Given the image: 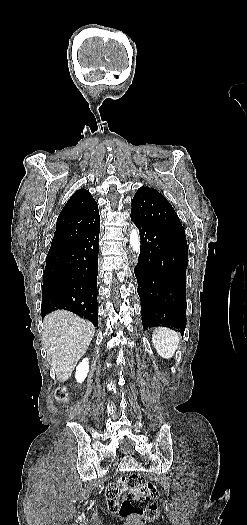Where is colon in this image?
Masks as SVG:
<instances>
[{
	"mask_svg": "<svg viewBox=\"0 0 247 525\" xmlns=\"http://www.w3.org/2000/svg\"><path fill=\"white\" fill-rule=\"evenodd\" d=\"M58 401H65L68 393L64 388H57L55 392ZM126 487L121 489V515L132 520L153 521L158 516V497L157 487L147 483L142 476L136 472H131L125 478Z\"/></svg>",
	"mask_w": 247,
	"mask_h": 525,
	"instance_id": "colon-1",
	"label": "colon"
}]
</instances>
